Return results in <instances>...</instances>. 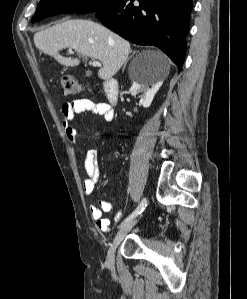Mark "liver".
I'll return each mask as SVG.
<instances>
[{"label": "liver", "instance_id": "liver-1", "mask_svg": "<svg viewBox=\"0 0 247 299\" xmlns=\"http://www.w3.org/2000/svg\"><path fill=\"white\" fill-rule=\"evenodd\" d=\"M36 47L46 55L66 66L80 64L78 58L62 57L64 48L75 50L77 55L99 60L103 67L98 71L100 79H111L128 60L130 43L106 27L91 20L73 19L58 23L34 35ZM159 66L162 78L169 74L167 57L159 51H149Z\"/></svg>", "mask_w": 247, "mask_h": 299}]
</instances>
